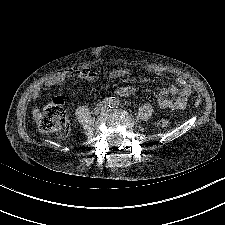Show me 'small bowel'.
<instances>
[{
	"instance_id": "1",
	"label": "small bowel",
	"mask_w": 225,
	"mask_h": 225,
	"mask_svg": "<svg viewBox=\"0 0 225 225\" xmlns=\"http://www.w3.org/2000/svg\"><path fill=\"white\" fill-rule=\"evenodd\" d=\"M154 73L161 74L160 69H155ZM128 74V70L124 68L114 69L110 73V77L114 79L122 78ZM97 78V74L92 70L71 69L68 71H59L48 76L38 87H36L32 93V100L37 101L41 98L44 88L59 85L69 80L73 85L79 84L81 81H94ZM177 84L181 87L179 90L176 86L171 85L160 90V96L158 98V105L162 109H183L186 106L187 100L191 95V88L186 82L185 78L178 77L176 79ZM135 87L131 85H125L117 88L116 93L122 97H128L135 92ZM167 95L177 96L176 99L170 100L166 98ZM35 117L39 111L35 110Z\"/></svg>"
}]
</instances>
